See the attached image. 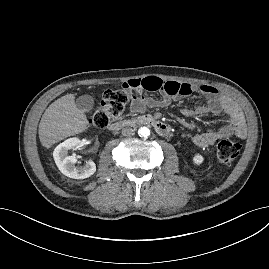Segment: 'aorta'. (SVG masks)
I'll use <instances>...</instances> for the list:
<instances>
[{"mask_svg":"<svg viewBox=\"0 0 269 269\" xmlns=\"http://www.w3.org/2000/svg\"><path fill=\"white\" fill-rule=\"evenodd\" d=\"M138 133L141 137L147 138L150 135V129L147 127H141L138 130Z\"/></svg>","mask_w":269,"mask_h":269,"instance_id":"762f6f07","label":"aorta"}]
</instances>
